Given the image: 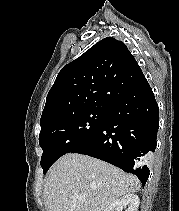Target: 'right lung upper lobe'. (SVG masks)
Returning <instances> with one entry per match:
<instances>
[{"mask_svg": "<svg viewBox=\"0 0 179 211\" xmlns=\"http://www.w3.org/2000/svg\"><path fill=\"white\" fill-rule=\"evenodd\" d=\"M144 78L126 45L104 38L61 69L47 95L41 128L79 111L109 108Z\"/></svg>", "mask_w": 179, "mask_h": 211, "instance_id": "1", "label": "right lung upper lobe"}]
</instances>
